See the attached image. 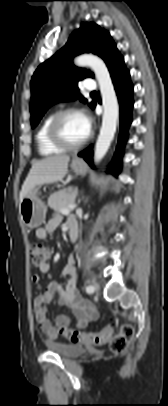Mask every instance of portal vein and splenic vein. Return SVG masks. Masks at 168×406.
<instances>
[{
    "label": "portal vein and splenic vein",
    "instance_id": "portal-vein-and-splenic-vein-1",
    "mask_svg": "<svg viewBox=\"0 0 168 406\" xmlns=\"http://www.w3.org/2000/svg\"><path fill=\"white\" fill-rule=\"evenodd\" d=\"M76 207V205H69L68 206V208H65V209H61V213L62 214H69L70 213V211L72 210V209H74Z\"/></svg>",
    "mask_w": 168,
    "mask_h": 406
}]
</instances>
